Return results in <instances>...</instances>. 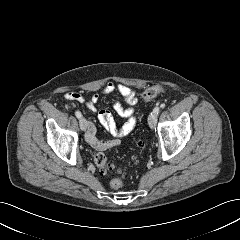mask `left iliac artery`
I'll return each instance as SVG.
<instances>
[{"label": "left iliac artery", "instance_id": "left-iliac-artery-1", "mask_svg": "<svg viewBox=\"0 0 240 240\" xmlns=\"http://www.w3.org/2000/svg\"><path fill=\"white\" fill-rule=\"evenodd\" d=\"M159 112H160V108H159V107H155V108L153 109V113H154V114L158 115Z\"/></svg>", "mask_w": 240, "mask_h": 240}]
</instances>
